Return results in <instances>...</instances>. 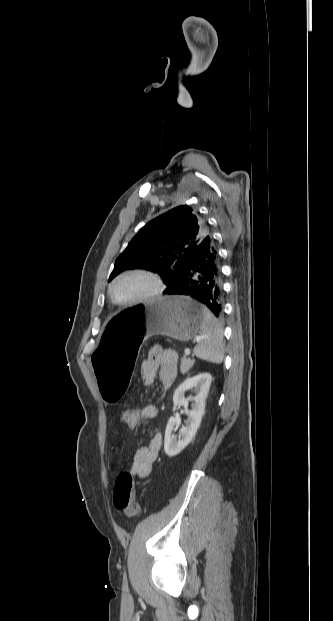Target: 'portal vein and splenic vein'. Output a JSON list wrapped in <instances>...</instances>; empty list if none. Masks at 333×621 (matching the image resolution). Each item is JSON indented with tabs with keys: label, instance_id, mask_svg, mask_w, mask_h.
I'll return each mask as SVG.
<instances>
[{
	"label": "portal vein and splenic vein",
	"instance_id": "obj_1",
	"mask_svg": "<svg viewBox=\"0 0 333 621\" xmlns=\"http://www.w3.org/2000/svg\"><path fill=\"white\" fill-rule=\"evenodd\" d=\"M201 339H202V337L197 338V339H196V342H200V340H201ZM189 354H190V349H189V348H186V349H185V355H189Z\"/></svg>",
	"mask_w": 333,
	"mask_h": 621
}]
</instances>
